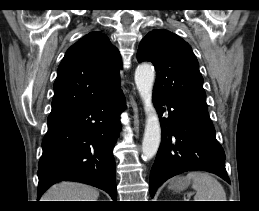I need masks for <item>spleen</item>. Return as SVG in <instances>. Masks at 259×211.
<instances>
[{"label": "spleen", "instance_id": "1", "mask_svg": "<svg viewBox=\"0 0 259 211\" xmlns=\"http://www.w3.org/2000/svg\"><path fill=\"white\" fill-rule=\"evenodd\" d=\"M185 179L193 181V188L196 190L194 201H227L223 186L210 174L193 171Z\"/></svg>", "mask_w": 259, "mask_h": 211}]
</instances>
